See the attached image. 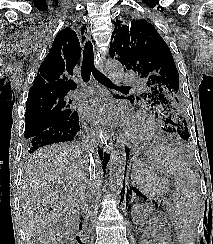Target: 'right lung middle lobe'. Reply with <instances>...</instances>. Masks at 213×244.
<instances>
[{"label": "right lung middle lobe", "instance_id": "1", "mask_svg": "<svg viewBox=\"0 0 213 244\" xmlns=\"http://www.w3.org/2000/svg\"><path fill=\"white\" fill-rule=\"evenodd\" d=\"M71 103L66 95L28 97L24 137L30 140L50 127L73 119L78 113L71 109Z\"/></svg>", "mask_w": 213, "mask_h": 244}]
</instances>
